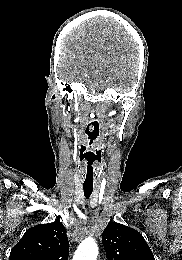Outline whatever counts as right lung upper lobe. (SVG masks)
<instances>
[{"instance_id": "cb5924a9", "label": "right lung upper lobe", "mask_w": 182, "mask_h": 260, "mask_svg": "<svg viewBox=\"0 0 182 260\" xmlns=\"http://www.w3.org/2000/svg\"><path fill=\"white\" fill-rule=\"evenodd\" d=\"M69 242L60 221L28 229L11 249L9 260H68Z\"/></svg>"}]
</instances>
